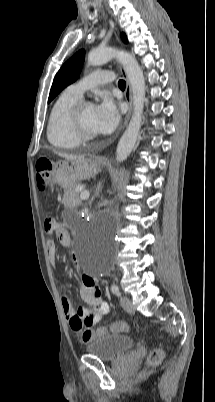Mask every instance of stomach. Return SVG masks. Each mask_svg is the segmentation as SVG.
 Returning <instances> with one entry per match:
<instances>
[{
  "mask_svg": "<svg viewBox=\"0 0 215 402\" xmlns=\"http://www.w3.org/2000/svg\"><path fill=\"white\" fill-rule=\"evenodd\" d=\"M100 170L101 162L97 158L81 156L75 160L54 163L52 176L59 186L69 188L82 180L95 176Z\"/></svg>",
  "mask_w": 215,
  "mask_h": 402,
  "instance_id": "stomach-1",
  "label": "stomach"
}]
</instances>
